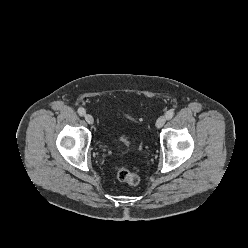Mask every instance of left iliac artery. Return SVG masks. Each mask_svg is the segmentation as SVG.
Returning a JSON list of instances; mask_svg holds the SVG:
<instances>
[{"mask_svg": "<svg viewBox=\"0 0 248 248\" xmlns=\"http://www.w3.org/2000/svg\"><path fill=\"white\" fill-rule=\"evenodd\" d=\"M166 118L169 120L174 116V111L173 110H168L165 114Z\"/></svg>", "mask_w": 248, "mask_h": 248, "instance_id": "obj_1", "label": "left iliac artery"}]
</instances>
